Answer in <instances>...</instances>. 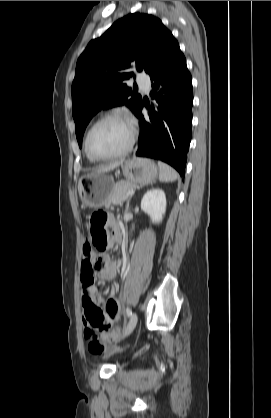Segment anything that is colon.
<instances>
[{
	"mask_svg": "<svg viewBox=\"0 0 271 418\" xmlns=\"http://www.w3.org/2000/svg\"><path fill=\"white\" fill-rule=\"evenodd\" d=\"M107 215L103 212L94 213L89 221L91 242L88 247L97 250H104L107 246L106 232ZM90 255V254H89ZM89 328L85 335L89 340V346L94 349L101 348L100 333L108 329L107 323L104 321L101 312L97 308H91L87 311Z\"/></svg>",
	"mask_w": 271,
	"mask_h": 418,
	"instance_id": "colon-1",
	"label": "colon"
}]
</instances>
